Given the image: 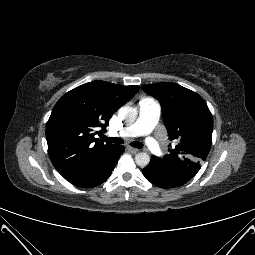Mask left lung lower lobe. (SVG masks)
<instances>
[{
	"instance_id": "1",
	"label": "left lung lower lobe",
	"mask_w": 255,
	"mask_h": 255,
	"mask_svg": "<svg viewBox=\"0 0 255 255\" xmlns=\"http://www.w3.org/2000/svg\"><path fill=\"white\" fill-rule=\"evenodd\" d=\"M143 175L155 186L160 188H174L185 184L189 179L174 175L150 161L143 169Z\"/></svg>"
}]
</instances>
